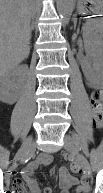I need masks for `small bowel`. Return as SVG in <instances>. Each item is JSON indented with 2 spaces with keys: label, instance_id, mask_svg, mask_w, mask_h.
Masks as SVG:
<instances>
[{
  "label": "small bowel",
  "instance_id": "small-bowel-1",
  "mask_svg": "<svg viewBox=\"0 0 103 193\" xmlns=\"http://www.w3.org/2000/svg\"><path fill=\"white\" fill-rule=\"evenodd\" d=\"M52 162V156L47 153L39 155L35 160L29 162L24 170L21 172L22 180L26 183L29 189V193H53L51 188H46L42 191L33 177V172L41 165H47ZM59 185L61 187L60 193H71L73 190L75 193H88L89 183L86 176H83L80 180L69 175L65 168H61L58 171ZM21 179H15L13 181V190L11 193H17L19 189H24ZM24 192L27 193L24 189Z\"/></svg>",
  "mask_w": 103,
  "mask_h": 193
}]
</instances>
